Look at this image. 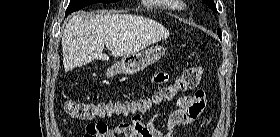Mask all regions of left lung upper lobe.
I'll return each mask as SVG.
<instances>
[{
    "instance_id": "5c2ea615",
    "label": "left lung upper lobe",
    "mask_w": 280,
    "mask_h": 137,
    "mask_svg": "<svg viewBox=\"0 0 280 137\" xmlns=\"http://www.w3.org/2000/svg\"><path fill=\"white\" fill-rule=\"evenodd\" d=\"M203 1L214 12H217L216 4L213 2V0H203ZM218 36L221 38V30L219 28H218Z\"/></svg>"
}]
</instances>
